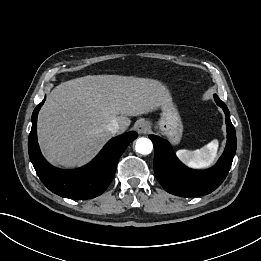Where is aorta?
<instances>
[{
    "label": "aorta",
    "mask_w": 261,
    "mask_h": 261,
    "mask_svg": "<svg viewBox=\"0 0 261 261\" xmlns=\"http://www.w3.org/2000/svg\"><path fill=\"white\" fill-rule=\"evenodd\" d=\"M135 149L136 152L147 155L152 152L153 144L148 138H139L136 141Z\"/></svg>",
    "instance_id": "obj_1"
}]
</instances>
